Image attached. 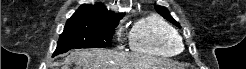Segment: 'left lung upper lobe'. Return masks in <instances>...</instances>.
I'll return each mask as SVG.
<instances>
[{
  "instance_id": "obj_1",
  "label": "left lung upper lobe",
  "mask_w": 246,
  "mask_h": 69,
  "mask_svg": "<svg viewBox=\"0 0 246 69\" xmlns=\"http://www.w3.org/2000/svg\"><path fill=\"white\" fill-rule=\"evenodd\" d=\"M156 11L163 16L164 18H166L167 20H169L170 22H172L173 24H175L176 26H179V24L172 18V16L170 15L169 11L167 10V8L163 7V6H155Z\"/></svg>"
}]
</instances>
